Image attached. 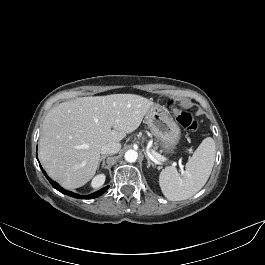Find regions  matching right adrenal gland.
Masks as SVG:
<instances>
[{
  "label": "right adrenal gland",
  "instance_id": "2a0ac1e0",
  "mask_svg": "<svg viewBox=\"0 0 265 265\" xmlns=\"http://www.w3.org/2000/svg\"><path fill=\"white\" fill-rule=\"evenodd\" d=\"M106 157H107V155H103V156L100 157L99 165L102 162L101 168H103L105 166V159H106Z\"/></svg>",
  "mask_w": 265,
  "mask_h": 265
}]
</instances>
